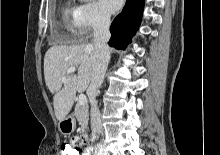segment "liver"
Listing matches in <instances>:
<instances>
[{
    "instance_id": "1",
    "label": "liver",
    "mask_w": 220,
    "mask_h": 155,
    "mask_svg": "<svg viewBox=\"0 0 220 155\" xmlns=\"http://www.w3.org/2000/svg\"><path fill=\"white\" fill-rule=\"evenodd\" d=\"M93 45L52 46L44 57L45 82L53 94L55 116L60 122L69 114L76 92L85 91L91 80L93 64ZM71 67H77L78 73L67 74ZM66 81L62 82V78Z\"/></svg>"
}]
</instances>
